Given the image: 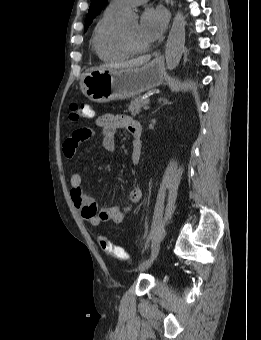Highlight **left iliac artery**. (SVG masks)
<instances>
[{
  "instance_id": "left-iliac-artery-1",
  "label": "left iliac artery",
  "mask_w": 261,
  "mask_h": 340,
  "mask_svg": "<svg viewBox=\"0 0 261 340\" xmlns=\"http://www.w3.org/2000/svg\"><path fill=\"white\" fill-rule=\"evenodd\" d=\"M160 250V244L157 240L152 241L150 248V257H156Z\"/></svg>"
}]
</instances>
